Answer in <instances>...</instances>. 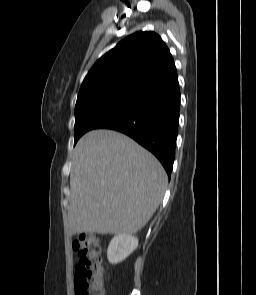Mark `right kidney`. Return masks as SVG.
Returning a JSON list of instances; mask_svg holds the SVG:
<instances>
[{"mask_svg":"<svg viewBox=\"0 0 256 295\" xmlns=\"http://www.w3.org/2000/svg\"><path fill=\"white\" fill-rule=\"evenodd\" d=\"M138 246V239L132 235L118 234L112 238L107 258L111 264H117L125 260Z\"/></svg>","mask_w":256,"mask_h":295,"instance_id":"obj_1","label":"right kidney"}]
</instances>
